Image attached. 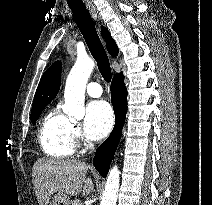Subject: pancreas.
<instances>
[{
    "instance_id": "cf45deb5",
    "label": "pancreas",
    "mask_w": 212,
    "mask_h": 205,
    "mask_svg": "<svg viewBox=\"0 0 212 205\" xmlns=\"http://www.w3.org/2000/svg\"><path fill=\"white\" fill-rule=\"evenodd\" d=\"M72 205H82V202L80 200H75Z\"/></svg>"
}]
</instances>
